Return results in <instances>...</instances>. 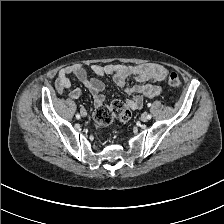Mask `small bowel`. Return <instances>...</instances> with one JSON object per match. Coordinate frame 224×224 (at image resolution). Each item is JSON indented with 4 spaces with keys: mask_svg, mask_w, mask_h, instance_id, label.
<instances>
[{
    "mask_svg": "<svg viewBox=\"0 0 224 224\" xmlns=\"http://www.w3.org/2000/svg\"><path fill=\"white\" fill-rule=\"evenodd\" d=\"M91 70L97 76H112L115 84L123 89L127 94L133 97L125 102L130 110H138L143 106V99L154 98L159 96L162 88L159 85L166 75V69L162 65L154 63H146L140 65H124V64H93ZM74 75L78 81L84 85L93 95L95 106H100L105 101L104 89L102 81L96 78H91L88 75L87 68L83 64H74L62 68L56 78V89L62 93L71 88V82L68 76ZM135 79L138 84L129 86L127 80ZM82 94L79 88L73 89L70 92V97L78 99Z\"/></svg>",
    "mask_w": 224,
    "mask_h": 224,
    "instance_id": "c3829d8e",
    "label": "small bowel"
}]
</instances>
